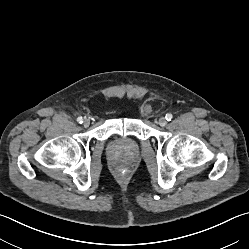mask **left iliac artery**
Returning a JSON list of instances; mask_svg holds the SVG:
<instances>
[{
	"mask_svg": "<svg viewBox=\"0 0 249 249\" xmlns=\"http://www.w3.org/2000/svg\"><path fill=\"white\" fill-rule=\"evenodd\" d=\"M165 118L167 121H171V119L173 118V115L168 113V114H166Z\"/></svg>",
	"mask_w": 249,
	"mask_h": 249,
	"instance_id": "left-iliac-artery-1",
	"label": "left iliac artery"
}]
</instances>
